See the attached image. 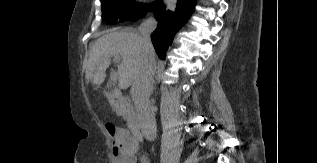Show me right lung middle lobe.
I'll use <instances>...</instances> for the list:
<instances>
[{
  "mask_svg": "<svg viewBox=\"0 0 317 163\" xmlns=\"http://www.w3.org/2000/svg\"><path fill=\"white\" fill-rule=\"evenodd\" d=\"M159 0L148 8H154ZM102 18L107 24H116L117 21L125 20L136 21L146 14L142 4H135L134 0H101Z\"/></svg>",
  "mask_w": 317,
  "mask_h": 163,
  "instance_id": "obj_1",
  "label": "right lung middle lobe"
}]
</instances>
